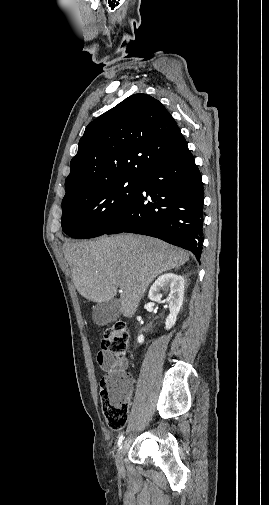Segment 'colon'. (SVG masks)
Masks as SVG:
<instances>
[{
    "label": "colon",
    "mask_w": 269,
    "mask_h": 505,
    "mask_svg": "<svg viewBox=\"0 0 269 505\" xmlns=\"http://www.w3.org/2000/svg\"><path fill=\"white\" fill-rule=\"evenodd\" d=\"M129 330L125 323L118 322L108 328L102 340V349L115 358L126 355ZM131 381L127 374L105 376L100 382V401L108 426L113 430L124 427L129 411Z\"/></svg>",
    "instance_id": "colon-1"
}]
</instances>
